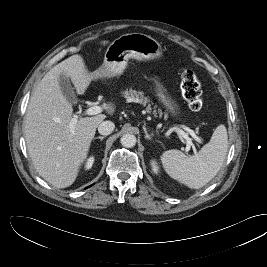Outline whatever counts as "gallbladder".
Returning <instances> with one entry per match:
<instances>
[{
  "label": "gallbladder",
  "mask_w": 267,
  "mask_h": 267,
  "mask_svg": "<svg viewBox=\"0 0 267 267\" xmlns=\"http://www.w3.org/2000/svg\"><path fill=\"white\" fill-rule=\"evenodd\" d=\"M59 84H60L62 93L67 98V100L72 104H76L77 98H76V94L74 91V87L71 84L70 78H68L64 74L60 75Z\"/></svg>",
  "instance_id": "obj_1"
}]
</instances>
